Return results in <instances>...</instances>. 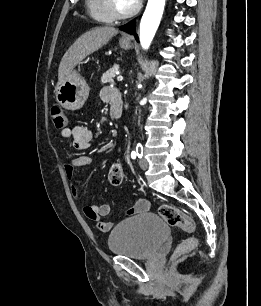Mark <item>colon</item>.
<instances>
[{
    "label": "colon",
    "mask_w": 261,
    "mask_h": 306,
    "mask_svg": "<svg viewBox=\"0 0 261 306\" xmlns=\"http://www.w3.org/2000/svg\"><path fill=\"white\" fill-rule=\"evenodd\" d=\"M50 117L56 129L63 131L66 128V115L60 107L53 106L50 111ZM123 177V163L121 161L114 162L109 168V182L113 186H118L121 184ZM158 212L163 220L170 226L178 227L188 233H192L195 230V223L193 219L172 205L163 204L159 207ZM196 245L197 240L194 237L186 238L176 248L175 255L180 256L192 250Z\"/></svg>",
    "instance_id": "1"
}]
</instances>
